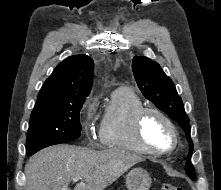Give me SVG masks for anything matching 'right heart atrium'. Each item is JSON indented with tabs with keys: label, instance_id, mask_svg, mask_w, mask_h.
Segmentation results:
<instances>
[{
	"label": "right heart atrium",
	"instance_id": "right-heart-atrium-1",
	"mask_svg": "<svg viewBox=\"0 0 221 190\" xmlns=\"http://www.w3.org/2000/svg\"><path fill=\"white\" fill-rule=\"evenodd\" d=\"M95 111V104L92 100H88L85 103V115H84V126H88L91 122Z\"/></svg>",
	"mask_w": 221,
	"mask_h": 190
}]
</instances>
